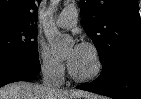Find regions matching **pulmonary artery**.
<instances>
[{
	"instance_id": "obj_1",
	"label": "pulmonary artery",
	"mask_w": 141,
	"mask_h": 99,
	"mask_svg": "<svg viewBox=\"0 0 141 99\" xmlns=\"http://www.w3.org/2000/svg\"><path fill=\"white\" fill-rule=\"evenodd\" d=\"M77 10L74 6H67L63 9L56 20V25L63 29L73 27L77 23Z\"/></svg>"
}]
</instances>
